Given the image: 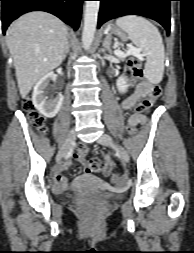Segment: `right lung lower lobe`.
I'll return each instance as SVG.
<instances>
[{
  "mask_svg": "<svg viewBox=\"0 0 194 253\" xmlns=\"http://www.w3.org/2000/svg\"><path fill=\"white\" fill-rule=\"evenodd\" d=\"M2 2V30L20 15L41 10L59 17L65 23L78 29L81 5L84 0H0Z\"/></svg>",
  "mask_w": 194,
  "mask_h": 253,
  "instance_id": "obj_1",
  "label": "right lung lower lobe"
}]
</instances>
